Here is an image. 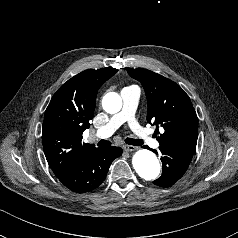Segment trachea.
<instances>
[{"label":"trachea","mask_w":238,"mask_h":238,"mask_svg":"<svg viewBox=\"0 0 238 238\" xmlns=\"http://www.w3.org/2000/svg\"><path fill=\"white\" fill-rule=\"evenodd\" d=\"M125 142H126L127 144H129V145H135V146H140V145L143 144V141H142V140H140V139H133V138H126V139H125ZM110 144H111L110 141H108V140H103V139L98 142V146H108V145H110Z\"/></svg>","instance_id":"3493384b"}]
</instances>
